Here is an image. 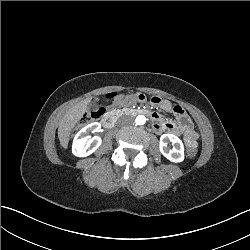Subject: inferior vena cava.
<instances>
[{
  "label": "inferior vena cava",
  "mask_w": 250,
  "mask_h": 250,
  "mask_svg": "<svg viewBox=\"0 0 250 250\" xmlns=\"http://www.w3.org/2000/svg\"><path fill=\"white\" fill-rule=\"evenodd\" d=\"M124 119V117H121L119 120H118V123L121 124V120Z\"/></svg>",
  "instance_id": "obj_1"
}]
</instances>
